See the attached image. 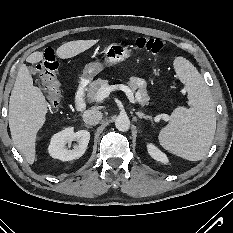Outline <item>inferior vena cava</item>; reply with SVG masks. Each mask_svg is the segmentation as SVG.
I'll return each instance as SVG.
<instances>
[{"label":"inferior vena cava","mask_w":233,"mask_h":233,"mask_svg":"<svg viewBox=\"0 0 233 233\" xmlns=\"http://www.w3.org/2000/svg\"><path fill=\"white\" fill-rule=\"evenodd\" d=\"M102 119V113L98 110H86L83 113V121L88 125H96Z\"/></svg>","instance_id":"obj_1"}]
</instances>
